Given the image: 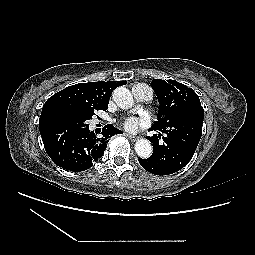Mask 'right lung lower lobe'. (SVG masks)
<instances>
[{
  "instance_id": "1",
  "label": "right lung lower lobe",
  "mask_w": 255,
  "mask_h": 255,
  "mask_svg": "<svg viewBox=\"0 0 255 255\" xmlns=\"http://www.w3.org/2000/svg\"><path fill=\"white\" fill-rule=\"evenodd\" d=\"M45 150L52 161L65 170L80 172L89 169L102 157L109 138L120 130L108 124L97 137L87 127L73 138H64L50 128L40 127Z\"/></svg>"
}]
</instances>
